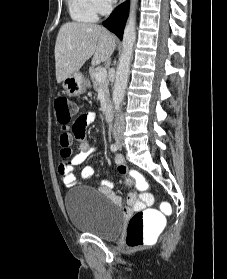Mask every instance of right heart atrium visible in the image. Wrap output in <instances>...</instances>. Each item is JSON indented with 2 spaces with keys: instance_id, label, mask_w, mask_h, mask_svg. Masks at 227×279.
<instances>
[{
  "instance_id": "1",
  "label": "right heart atrium",
  "mask_w": 227,
  "mask_h": 279,
  "mask_svg": "<svg viewBox=\"0 0 227 279\" xmlns=\"http://www.w3.org/2000/svg\"><path fill=\"white\" fill-rule=\"evenodd\" d=\"M109 0H89V4L96 14H104L109 8Z\"/></svg>"
}]
</instances>
